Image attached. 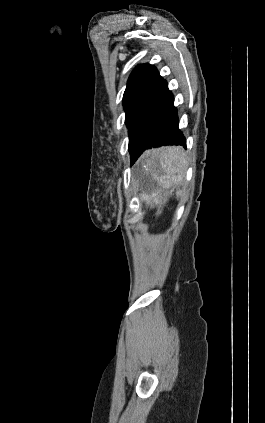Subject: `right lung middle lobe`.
I'll return each instance as SVG.
<instances>
[{
  "mask_svg": "<svg viewBox=\"0 0 265 423\" xmlns=\"http://www.w3.org/2000/svg\"><path fill=\"white\" fill-rule=\"evenodd\" d=\"M147 96H133L123 100V105L126 113L125 123L129 128L134 116L146 100Z\"/></svg>",
  "mask_w": 265,
  "mask_h": 423,
  "instance_id": "1",
  "label": "right lung middle lobe"
}]
</instances>
